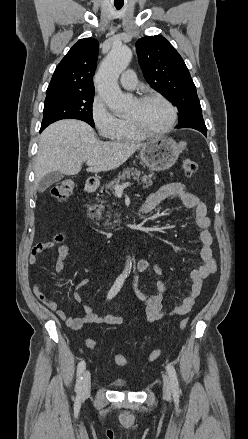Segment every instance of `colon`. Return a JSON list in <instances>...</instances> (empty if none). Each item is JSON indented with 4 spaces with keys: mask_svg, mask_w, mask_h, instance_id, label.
<instances>
[{
    "mask_svg": "<svg viewBox=\"0 0 248 439\" xmlns=\"http://www.w3.org/2000/svg\"><path fill=\"white\" fill-rule=\"evenodd\" d=\"M182 167L185 176L188 178L192 177L198 169L197 163L191 159H185L183 161ZM73 189H74V182L72 180L65 179L57 183V185L52 190V194L56 199L62 201L67 199L71 195ZM60 240H61V236H58L56 238V241H60ZM187 324H188V318H183L179 322V328L182 330L187 326ZM87 346L91 350L98 349L97 342L92 339L87 340ZM161 352L162 351L160 349H155L148 355L147 361L148 362L156 361L161 356ZM111 358L114 361V363L118 366H127L129 364V360L123 355L112 354Z\"/></svg>",
    "mask_w": 248,
    "mask_h": 439,
    "instance_id": "obj_1",
    "label": "colon"
}]
</instances>
